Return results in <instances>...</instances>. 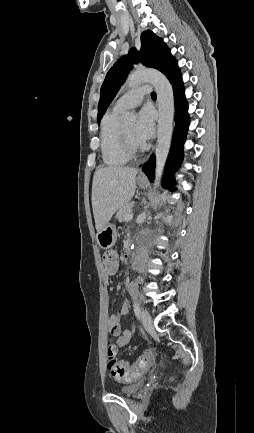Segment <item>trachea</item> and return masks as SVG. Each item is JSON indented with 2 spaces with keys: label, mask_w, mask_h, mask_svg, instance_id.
I'll use <instances>...</instances> for the list:
<instances>
[{
  "label": "trachea",
  "mask_w": 254,
  "mask_h": 433,
  "mask_svg": "<svg viewBox=\"0 0 254 433\" xmlns=\"http://www.w3.org/2000/svg\"><path fill=\"white\" fill-rule=\"evenodd\" d=\"M151 97H152L153 99H156V97H157V96H156V93H155V92H152V93H151Z\"/></svg>",
  "instance_id": "trachea-1"
}]
</instances>
